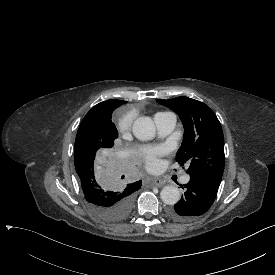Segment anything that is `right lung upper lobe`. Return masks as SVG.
Listing matches in <instances>:
<instances>
[{
	"label": "right lung upper lobe",
	"instance_id": "right-lung-upper-lobe-1",
	"mask_svg": "<svg viewBox=\"0 0 275 275\" xmlns=\"http://www.w3.org/2000/svg\"><path fill=\"white\" fill-rule=\"evenodd\" d=\"M127 101L107 100L94 106L84 117L86 121L106 120L111 118L112 112ZM130 186H141V181L128 184Z\"/></svg>",
	"mask_w": 275,
	"mask_h": 275
}]
</instances>
